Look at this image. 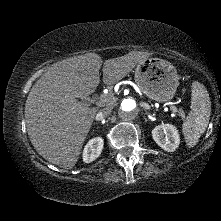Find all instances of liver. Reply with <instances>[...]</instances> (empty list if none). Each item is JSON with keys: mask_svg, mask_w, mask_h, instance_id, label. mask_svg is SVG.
I'll return each mask as SVG.
<instances>
[{"mask_svg": "<svg viewBox=\"0 0 221 221\" xmlns=\"http://www.w3.org/2000/svg\"><path fill=\"white\" fill-rule=\"evenodd\" d=\"M153 53L131 51L104 62L95 53L62 60L51 66L31 88L25 103L27 132L35 150L48 162L72 169L91 128L96 107L80 102L100 82L112 85Z\"/></svg>", "mask_w": 221, "mask_h": 221, "instance_id": "1", "label": "liver"}]
</instances>
